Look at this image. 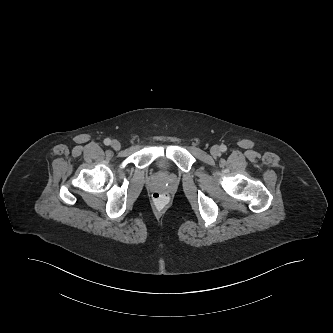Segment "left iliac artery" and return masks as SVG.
Returning <instances> with one entry per match:
<instances>
[{
	"instance_id": "left-iliac-artery-1",
	"label": "left iliac artery",
	"mask_w": 333,
	"mask_h": 333,
	"mask_svg": "<svg viewBox=\"0 0 333 333\" xmlns=\"http://www.w3.org/2000/svg\"><path fill=\"white\" fill-rule=\"evenodd\" d=\"M220 150H221L222 152H225V151L227 150V147H226L225 145H221V146H220Z\"/></svg>"
}]
</instances>
